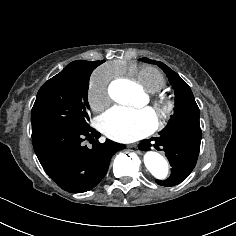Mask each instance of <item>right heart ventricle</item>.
Masks as SVG:
<instances>
[{
    "mask_svg": "<svg viewBox=\"0 0 236 236\" xmlns=\"http://www.w3.org/2000/svg\"><path fill=\"white\" fill-rule=\"evenodd\" d=\"M117 74L130 75V81L138 83L151 94L160 92L166 85L164 76L150 66L128 68L126 65H122Z\"/></svg>",
    "mask_w": 236,
    "mask_h": 236,
    "instance_id": "obj_1",
    "label": "right heart ventricle"
}]
</instances>
